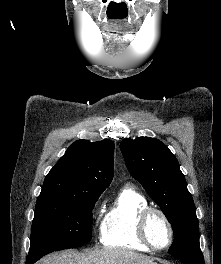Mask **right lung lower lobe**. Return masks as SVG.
Returning a JSON list of instances; mask_svg holds the SVG:
<instances>
[{
  "label": "right lung lower lobe",
  "instance_id": "right-lung-lower-lobe-1",
  "mask_svg": "<svg viewBox=\"0 0 221 264\" xmlns=\"http://www.w3.org/2000/svg\"><path fill=\"white\" fill-rule=\"evenodd\" d=\"M40 258L41 257H39V256H36V257H33V258H27L26 264H33Z\"/></svg>",
  "mask_w": 221,
  "mask_h": 264
}]
</instances>
